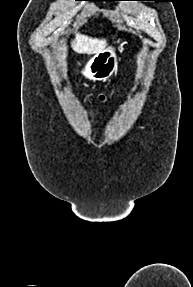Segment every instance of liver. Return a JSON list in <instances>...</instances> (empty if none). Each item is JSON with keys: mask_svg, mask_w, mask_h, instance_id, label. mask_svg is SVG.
<instances>
[{"mask_svg": "<svg viewBox=\"0 0 193 287\" xmlns=\"http://www.w3.org/2000/svg\"><path fill=\"white\" fill-rule=\"evenodd\" d=\"M107 45L105 39L92 38L76 33L75 39L71 42L72 49L80 54H95L103 50Z\"/></svg>", "mask_w": 193, "mask_h": 287, "instance_id": "obj_1", "label": "liver"}]
</instances>
